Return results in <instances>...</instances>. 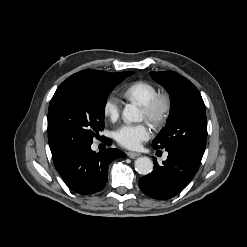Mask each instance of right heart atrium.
Here are the masks:
<instances>
[{"instance_id":"obj_1","label":"right heart atrium","mask_w":247,"mask_h":247,"mask_svg":"<svg viewBox=\"0 0 247 247\" xmlns=\"http://www.w3.org/2000/svg\"><path fill=\"white\" fill-rule=\"evenodd\" d=\"M102 112L108 120L112 122L116 121L120 115V105L118 99L113 95L108 96L103 103Z\"/></svg>"}]
</instances>
